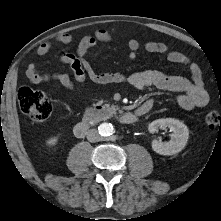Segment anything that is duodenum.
<instances>
[{"label": "duodenum", "mask_w": 221, "mask_h": 221, "mask_svg": "<svg viewBox=\"0 0 221 221\" xmlns=\"http://www.w3.org/2000/svg\"><path fill=\"white\" fill-rule=\"evenodd\" d=\"M100 107L95 108V112H98ZM149 110L148 107L143 108L142 113L138 112H125L120 115L119 121L124 125H130L134 124L138 120V116L142 115L143 113L147 112ZM91 127V122L89 119L82 120L78 122L74 127V135L77 138H83L87 135L89 129Z\"/></svg>", "instance_id": "obj_1"}]
</instances>
